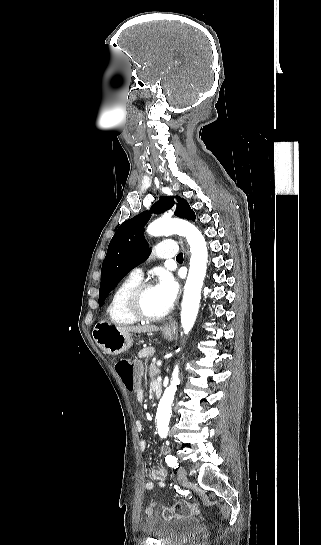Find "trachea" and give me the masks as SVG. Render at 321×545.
<instances>
[{"mask_svg": "<svg viewBox=\"0 0 321 545\" xmlns=\"http://www.w3.org/2000/svg\"><path fill=\"white\" fill-rule=\"evenodd\" d=\"M177 261L183 260V253H179L176 257Z\"/></svg>", "mask_w": 321, "mask_h": 545, "instance_id": "1", "label": "trachea"}]
</instances>
